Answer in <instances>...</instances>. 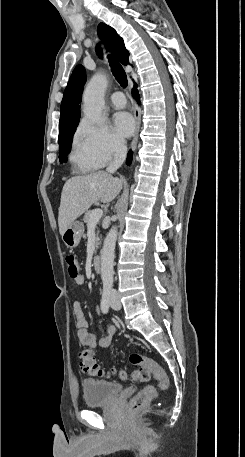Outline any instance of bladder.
Returning a JSON list of instances; mask_svg holds the SVG:
<instances>
[{"mask_svg":"<svg viewBox=\"0 0 245 457\" xmlns=\"http://www.w3.org/2000/svg\"><path fill=\"white\" fill-rule=\"evenodd\" d=\"M85 406L109 403L113 395H118L121 385L112 381L87 380L83 382Z\"/></svg>","mask_w":245,"mask_h":457,"instance_id":"obj_1","label":"bladder"}]
</instances>
